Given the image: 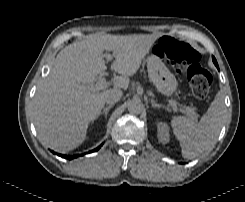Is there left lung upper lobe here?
<instances>
[{"label": "left lung upper lobe", "mask_w": 245, "mask_h": 202, "mask_svg": "<svg viewBox=\"0 0 245 202\" xmlns=\"http://www.w3.org/2000/svg\"><path fill=\"white\" fill-rule=\"evenodd\" d=\"M213 62H214V64L216 65V67L218 68V64H217V61H216V59L213 57Z\"/></svg>", "instance_id": "1"}]
</instances>
